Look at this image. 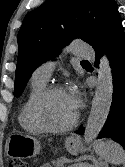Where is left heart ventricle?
I'll list each match as a JSON object with an SVG mask.
<instances>
[{
	"instance_id": "left-heart-ventricle-1",
	"label": "left heart ventricle",
	"mask_w": 125,
	"mask_h": 167,
	"mask_svg": "<svg viewBox=\"0 0 125 167\" xmlns=\"http://www.w3.org/2000/svg\"><path fill=\"white\" fill-rule=\"evenodd\" d=\"M76 109L71 104L65 91L51 95L44 103L41 116L52 127H60L72 120Z\"/></svg>"
}]
</instances>
